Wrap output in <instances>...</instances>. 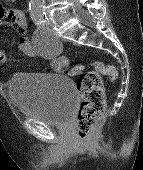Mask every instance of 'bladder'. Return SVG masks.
<instances>
[{"instance_id": "1", "label": "bladder", "mask_w": 143, "mask_h": 170, "mask_svg": "<svg viewBox=\"0 0 143 170\" xmlns=\"http://www.w3.org/2000/svg\"><path fill=\"white\" fill-rule=\"evenodd\" d=\"M7 89L22 115L51 125L67 123L78 98L74 82L57 73H16Z\"/></svg>"}]
</instances>
